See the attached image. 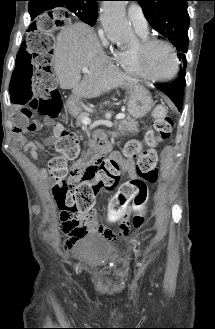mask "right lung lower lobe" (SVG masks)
<instances>
[{"label": "right lung lower lobe", "mask_w": 215, "mask_h": 329, "mask_svg": "<svg viewBox=\"0 0 215 329\" xmlns=\"http://www.w3.org/2000/svg\"><path fill=\"white\" fill-rule=\"evenodd\" d=\"M41 11H42V9L38 2L29 1V13H30L32 19H34L37 15H39L41 13Z\"/></svg>", "instance_id": "obj_1"}]
</instances>
